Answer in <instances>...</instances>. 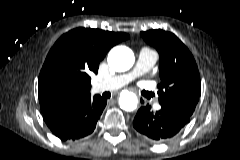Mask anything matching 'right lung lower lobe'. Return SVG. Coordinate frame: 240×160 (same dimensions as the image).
Listing matches in <instances>:
<instances>
[{
  "instance_id": "right-lung-lower-lobe-1",
  "label": "right lung lower lobe",
  "mask_w": 240,
  "mask_h": 160,
  "mask_svg": "<svg viewBox=\"0 0 240 160\" xmlns=\"http://www.w3.org/2000/svg\"><path fill=\"white\" fill-rule=\"evenodd\" d=\"M106 104L107 99L99 95L91 98L88 95L73 104L43 113V119L52 133L61 140H77L94 131Z\"/></svg>"
}]
</instances>
